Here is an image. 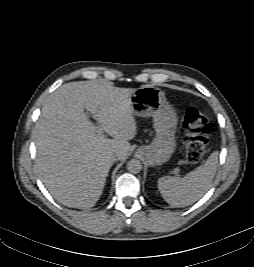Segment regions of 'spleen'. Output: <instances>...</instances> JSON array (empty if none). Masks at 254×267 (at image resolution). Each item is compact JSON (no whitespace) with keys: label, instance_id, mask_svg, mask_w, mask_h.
<instances>
[{"label":"spleen","instance_id":"1","mask_svg":"<svg viewBox=\"0 0 254 267\" xmlns=\"http://www.w3.org/2000/svg\"><path fill=\"white\" fill-rule=\"evenodd\" d=\"M218 152L183 178L164 176L158 180L163 199L173 207H184L198 201L210 188L217 171Z\"/></svg>","mask_w":254,"mask_h":267}]
</instances>
